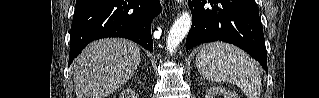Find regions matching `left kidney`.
Masks as SVG:
<instances>
[{
  "mask_svg": "<svg viewBox=\"0 0 319 98\" xmlns=\"http://www.w3.org/2000/svg\"><path fill=\"white\" fill-rule=\"evenodd\" d=\"M221 96H223V98H239V95L236 92L227 90L221 86H213L205 94V98H216Z\"/></svg>",
  "mask_w": 319,
  "mask_h": 98,
  "instance_id": "obj_1",
  "label": "left kidney"
}]
</instances>
